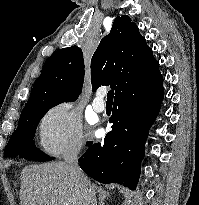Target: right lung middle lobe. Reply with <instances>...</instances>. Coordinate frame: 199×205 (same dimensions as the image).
I'll return each mask as SVG.
<instances>
[{
  "label": "right lung middle lobe",
  "instance_id": "dd1d6c3e",
  "mask_svg": "<svg viewBox=\"0 0 199 205\" xmlns=\"http://www.w3.org/2000/svg\"><path fill=\"white\" fill-rule=\"evenodd\" d=\"M62 102L38 100L27 103L21 112L18 127L5 147L4 157L19 155L20 158L35 161H51L54 159V157H50L37 149L33 138L40 119L50 108Z\"/></svg>",
  "mask_w": 199,
  "mask_h": 205
}]
</instances>
